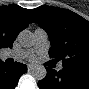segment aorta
Returning <instances> with one entry per match:
<instances>
[{
    "mask_svg": "<svg viewBox=\"0 0 89 89\" xmlns=\"http://www.w3.org/2000/svg\"><path fill=\"white\" fill-rule=\"evenodd\" d=\"M18 41L25 48L33 47L36 43L34 34L29 30H24V31L20 32L18 35ZM46 74H47V71L44 66H38L32 72V76L36 80L44 79Z\"/></svg>",
    "mask_w": 89,
    "mask_h": 89,
    "instance_id": "obj_1",
    "label": "aorta"
}]
</instances>
